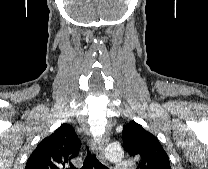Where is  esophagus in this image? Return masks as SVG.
I'll use <instances>...</instances> for the list:
<instances>
[{"label": "esophagus", "instance_id": "obj_1", "mask_svg": "<svg viewBox=\"0 0 208 169\" xmlns=\"http://www.w3.org/2000/svg\"><path fill=\"white\" fill-rule=\"evenodd\" d=\"M107 143H108V138L107 136H104L100 141H97L93 144L97 157L102 163H106L104 150H105Z\"/></svg>", "mask_w": 208, "mask_h": 169}]
</instances>
